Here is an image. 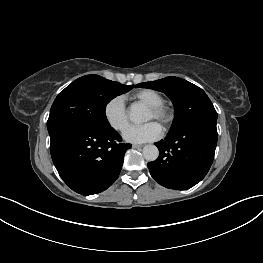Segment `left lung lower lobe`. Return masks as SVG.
<instances>
[{
    "mask_svg": "<svg viewBox=\"0 0 263 263\" xmlns=\"http://www.w3.org/2000/svg\"><path fill=\"white\" fill-rule=\"evenodd\" d=\"M216 122L185 126L155 143L159 157L147 164L162 186L185 190L200 182L209 171L217 144Z\"/></svg>",
    "mask_w": 263,
    "mask_h": 263,
    "instance_id": "left-lung-lower-lobe-1",
    "label": "left lung lower lobe"
}]
</instances>
